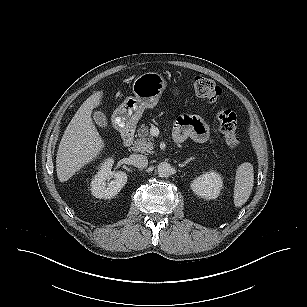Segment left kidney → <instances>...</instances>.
Returning <instances> with one entry per match:
<instances>
[{
  "label": "left kidney",
  "mask_w": 307,
  "mask_h": 307,
  "mask_svg": "<svg viewBox=\"0 0 307 307\" xmlns=\"http://www.w3.org/2000/svg\"><path fill=\"white\" fill-rule=\"evenodd\" d=\"M223 187L222 176L215 172H206L191 182L193 192L205 199H216Z\"/></svg>",
  "instance_id": "5707ae66"
}]
</instances>
